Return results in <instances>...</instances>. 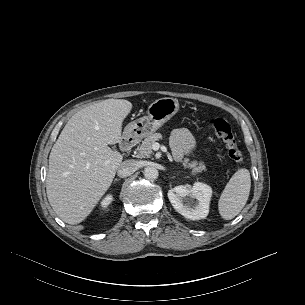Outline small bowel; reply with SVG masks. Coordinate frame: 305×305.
<instances>
[{
  "label": "small bowel",
  "mask_w": 305,
  "mask_h": 305,
  "mask_svg": "<svg viewBox=\"0 0 305 305\" xmlns=\"http://www.w3.org/2000/svg\"><path fill=\"white\" fill-rule=\"evenodd\" d=\"M173 156L176 160L191 155L196 147L193 135L187 129H176L170 140Z\"/></svg>",
  "instance_id": "c3829d8e"
}]
</instances>
